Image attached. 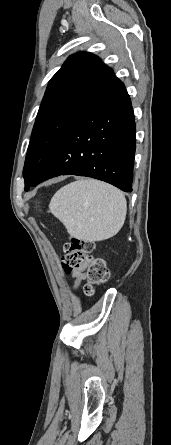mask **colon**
Returning <instances> with one entry per match:
<instances>
[{"mask_svg": "<svg viewBox=\"0 0 171 445\" xmlns=\"http://www.w3.org/2000/svg\"><path fill=\"white\" fill-rule=\"evenodd\" d=\"M94 244L88 241L71 239L64 246L62 267L68 274L82 272L85 274L84 293L87 296L95 294L96 288L109 278V271L103 259L93 255Z\"/></svg>", "mask_w": 171, "mask_h": 445, "instance_id": "obj_1", "label": "colon"}]
</instances>
